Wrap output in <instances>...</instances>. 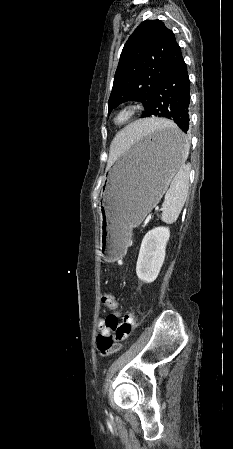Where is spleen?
I'll return each mask as SVG.
<instances>
[{
    "instance_id": "1",
    "label": "spleen",
    "mask_w": 233,
    "mask_h": 449,
    "mask_svg": "<svg viewBox=\"0 0 233 449\" xmlns=\"http://www.w3.org/2000/svg\"><path fill=\"white\" fill-rule=\"evenodd\" d=\"M174 126L171 122V125H163V127ZM186 142V151H184V157H187L189 150V142ZM189 190V167L188 165L181 163L179 166L176 175L174 176L170 188L165 194V199L162 204V216L161 220L167 224L174 223L184 204L186 198L188 196Z\"/></svg>"
}]
</instances>
